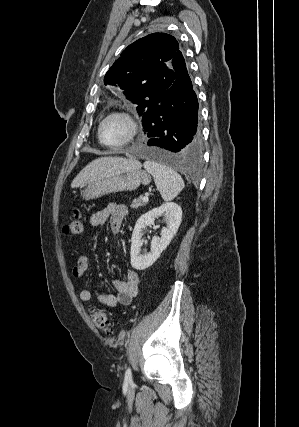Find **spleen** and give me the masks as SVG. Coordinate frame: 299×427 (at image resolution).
Listing matches in <instances>:
<instances>
[{"mask_svg": "<svg viewBox=\"0 0 299 427\" xmlns=\"http://www.w3.org/2000/svg\"><path fill=\"white\" fill-rule=\"evenodd\" d=\"M143 166L153 176L163 200L171 201L183 190L184 181L172 168L152 160L145 161Z\"/></svg>", "mask_w": 299, "mask_h": 427, "instance_id": "obj_1", "label": "spleen"}]
</instances>
